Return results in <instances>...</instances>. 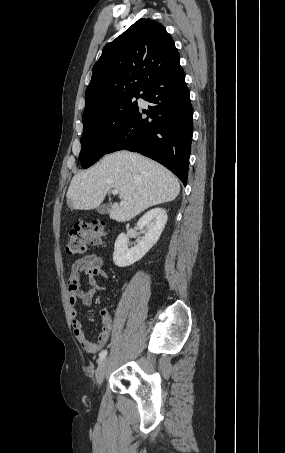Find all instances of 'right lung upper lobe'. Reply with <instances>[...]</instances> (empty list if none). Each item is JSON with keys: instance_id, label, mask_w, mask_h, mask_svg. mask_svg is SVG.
Instances as JSON below:
<instances>
[{"instance_id": "cb5924a9", "label": "right lung upper lobe", "mask_w": 285, "mask_h": 453, "mask_svg": "<svg viewBox=\"0 0 285 453\" xmlns=\"http://www.w3.org/2000/svg\"><path fill=\"white\" fill-rule=\"evenodd\" d=\"M179 61L165 27L149 18L139 19L103 48L85 93L84 113L114 97L141 93L151 79Z\"/></svg>"}]
</instances>
